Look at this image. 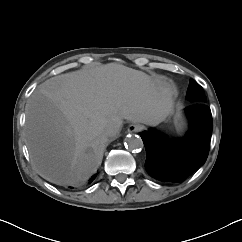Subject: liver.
Instances as JSON below:
<instances>
[{
	"mask_svg": "<svg viewBox=\"0 0 242 242\" xmlns=\"http://www.w3.org/2000/svg\"><path fill=\"white\" fill-rule=\"evenodd\" d=\"M25 138L44 179L78 185L97 171L123 119L158 125L174 114V92L165 81L117 63L52 77L29 98Z\"/></svg>",
	"mask_w": 242,
	"mask_h": 242,
	"instance_id": "liver-1",
	"label": "liver"
}]
</instances>
